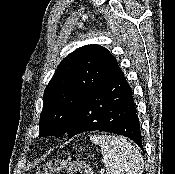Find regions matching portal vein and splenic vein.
I'll return each instance as SVG.
<instances>
[{
    "label": "portal vein and splenic vein",
    "instance_id": "18ae733b",
    "mask_svg": "<svg viewBox=\"0 0 175 174\" xmlns=\"http://www.w3.org/2000/svg\"><path fill=\"white\" fill-rule=\"evenodd\" d=\"M102 172H104V169H101V174H102Z\"/></svg>",
    "mask_w": 175,
    "mask_h": 174
}]
</instances>
